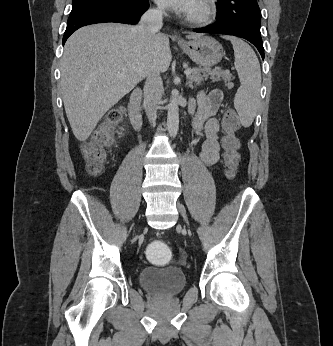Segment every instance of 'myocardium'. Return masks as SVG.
Wrapping results in <instances>:
<instances>
[{"instance_id": "f54148a6", "label": "myocardium", "mask_w": 333, "mask_h": 346, "mask_svg": "<svg viewBox=\"0 0 333 346\" xmlns=\"http://www.w3.org/2000/svg\"><path fill=\"white\" fill-rule=\"evenodd\" d=\"M216 15V0H195L193 8L186 13V20L204 26L212 23Z\"/></svg>"}]
</instances>
